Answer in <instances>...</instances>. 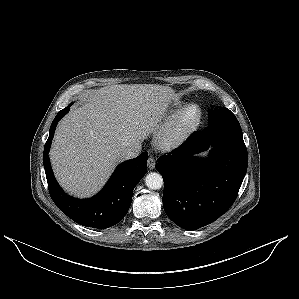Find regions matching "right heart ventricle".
I'll return each instance as SVG.
<instances>
[{"label":"right heart ventricle","instance_id":"obj_1","mask_svg":"<svg viewBox=\"0 0 299 299\" xmlns=\"http://www.w3.org/2000/svg\"><path fill=\"white\" fill-rule=\"evenodd\" d=\"M185 106L184 103L182 102H177L175 104V107H174V110H173V114L172 115H175L179 110H181L183 107Z\"/></svg>","mask_w":299,"mask_h":299}]
</instances>
